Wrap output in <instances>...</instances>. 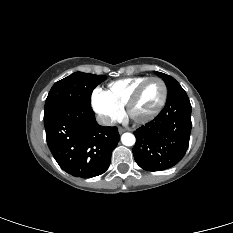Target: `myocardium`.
<instances>
[{
    "label": "myocardium",
    "instance_id": "f54148a6",
    "mask_svg": "<svg viewBox=\"0 0 233 233\" xmlns=\"http://www.w3.org/2000/svg\"><path fill=\"white\" fill-rule=\"evenodd\" d=\"M151 81H159L163 87V95L161 98V101L159 102L158 106L149 114L145 115V116H135L133 113V108L136 104V102L138 101L143 89L145 88V86L151 82ZM167 95H168V89H167V85L165 83V81L163 79H161L160 77H148L147 79H145L144 81H142L136 88L135 90L132 92L131 96L129 97L127 103H126V112L127 115L136 123H147L149 121H151L152 119H154L163 109L166 100H167Z\"/></svg>",
    "mask_w": 233,
    "mask_h": 233
}]
</instances>
